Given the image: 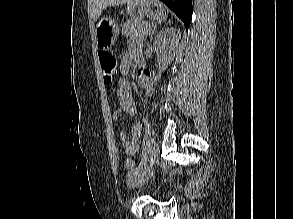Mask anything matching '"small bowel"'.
<instances>
[{"label":"small bowel","instance_id":"c3829d8e","mask_svg":"<svg viewBox=\"0 0 293 219\" xmlns=\"http://www.w3.org/2000/svg\"><path fill=\"white\" fill-rule=\"evenodd\" d=\"M141 55V43L138 41H133L130 43L128 51L124 56L120 72L123 77L117 83V96L118 103L114 111V118L118 116L121 112H127L131 115L136 113V108L132 99L131 87L128 79L125 77L130 70V67L134 61H138ZM150 78V73L147 70H141L139 73V84L145 86ZM120 139L122 140V147L127 155H135L139 148V140L142 136V124L136 122L131 128V139H129L124 131L119 133ZM134 173L129 175L132 179Z\"/></svg>","mask_w":293,"mask_h":219}]
</instances>
